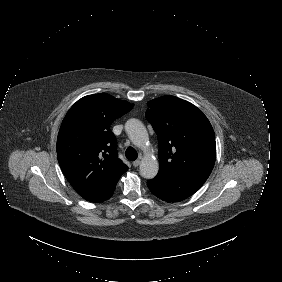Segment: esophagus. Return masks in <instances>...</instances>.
I'll list each match as a JSON object with an SVG mask.
<instances>
[{
    "mask_svg": "<svg viewBox=\"0 0 282 282\" xmlns=\"http://www.w3.org/2000/svg\"><path fill=\"white\" fill-rule=\"evenodd\" d=\"M140 163H141V161L138 159V160H135L134 162H133V166L134 167H138L139 165H140Z\"/></svg>",
    "mask_w": 282,
    "mask_h": 282,
    "instance_id": "1",
    "label": "esophagus"
}]
</instances>
